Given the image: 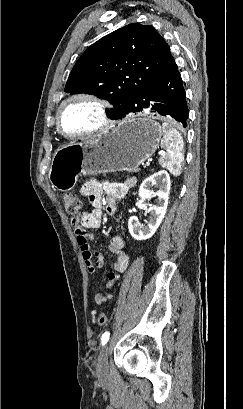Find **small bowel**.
I'll use <instances>...</instances> for the list:
<instances>
[{
	"label": "small bowel",
	"instance_id": "c3829d8e",
	"mask_svg": "<svg viewBox=\"0 0 243 409\" xmlns=\"http://www.w3.org/2000/svg\"><path fill=\"white\" fill-rule=\"evenodd\" d=\"M136 184L134 178H128L122 183H100L96 180H90L84 184L81 189V193L88 197L92 209L84 211L80 218L73 219L72 225L74 226L77 236V242L82 252V256L90 274L97 273L103 267V257L99 252L91 250L89 242L93 240L94 235L91 232H84L80 234L77 232V228L81 227L85 229H98L101 226V207L105 205L106 211L110 216L116 214V202L125 197L127 192ZM106 195L103 198V195ZM124 242L119 237H113L109 242V249L116 254L114 262L115 272L108 273V281L105 284V289L110 291L114 288L116 282L120 278V274L125 272L128 268L129 258L123 250ZM96 257V261L93 258ZM112 298L111 293L99 292L94 296V304L101 305ZM95 313V310L92 311Z\"/></svg>",
	"mask_w": 243,
	"mask_h": 409
}]
</instances>
